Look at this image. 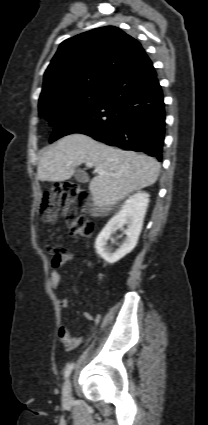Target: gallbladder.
<instances>
[{"instance_id": "1", "label": "gallbladder", "mask_w": 208, "mask_h": 425, "mask_svg": "<svg viewBox=\"0 0 208 425\" xmlns=\"http://www.w3.org/2000/svg\"><path fill=\"white\" fill-rule=\"evenodd\" d=\"M75 178H76L77 181H79L81 183H85V182L88 181L87 175L80 169L76 170Z\"/></svg>"}]
</instances>
